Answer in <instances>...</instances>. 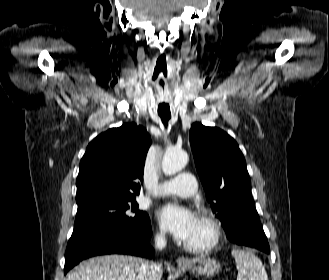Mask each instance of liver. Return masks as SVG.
<instances>
[{"label":"liver","instance_id":"liver-1","mask_svg":"<svg viewBox=\"0 0 329 280\" xmlns=\"http://www.w3.org/2000/svg\"><path fill=\"white\" fill-rule=\"evenodd\" d=\"M145 260L124 255H105L82 262L67 274L66 280H140V268ZM163 270L156 274L160 280Z\"/></svg>","mask_w":329,"mask_h":280}]
</instances>
